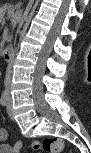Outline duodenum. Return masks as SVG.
I'll return each mask as SVG.
<instances>
[{"instance_id": "410a0bca", "label": "duodenum", "mask_w": 91, "mask_h": 153, "mask_svg": "<svg viewBox=\"0 0 91 153\" xmlns=\"http://www.w3.org/2000/svg\"><path fill=\"white\" fill-rule=\"evenodd\" d=\"M14 54V48L10 45H7L3 51V60L7 63L12 61Z\"/></svg>"}]
</instances>
